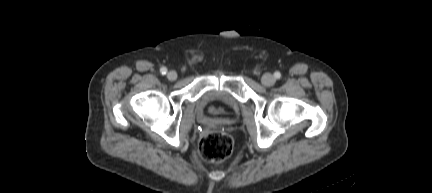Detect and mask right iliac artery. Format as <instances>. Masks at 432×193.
I'll list each match as a JSON object with an SVG mask.
<instances>
[{
  "instance_id": "obj_1",
  "label": "right iliac artery",
  "mask_w": 432,
  "mask_h": 193,
  "mask_svg": "<svg viewBox=\"0 0 432 193\" xmlns=\"http://www.w3.org/2000/svg\"><path fill=\"white\" fill-rule=\"evenodd\" d=\"M161 74L165 75L167 73V69L165 67H162L160 69Z\"/></svg>"
}]
</instances>
